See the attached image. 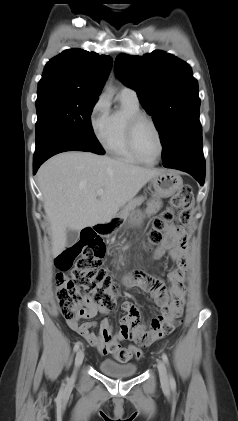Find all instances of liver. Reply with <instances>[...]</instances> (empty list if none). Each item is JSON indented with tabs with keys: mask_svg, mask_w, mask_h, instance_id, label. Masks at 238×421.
<instances>
[{
	"mask_svg": "<svg viewBox=\"0 0 238 421\" xmlns=\"http://www.w3.org/2000/svg\"><path fill=\"white\" fill-rule=\"evenodd\" d=\"M162 171L91 152H64L46 161L37 178L51 225L53 255L67 246V229L79 231L110 222L120 207ZM100 189L104 193L98 196Z\"/></svg>",
	"mask_w": 238,
	"mask_h": 421,
	"instance_id": "obj_1",
	"label": "liver"
}]
</instances>
